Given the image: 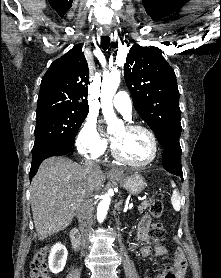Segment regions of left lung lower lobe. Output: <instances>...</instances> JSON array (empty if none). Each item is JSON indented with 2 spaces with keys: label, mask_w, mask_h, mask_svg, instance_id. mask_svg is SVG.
Returning a JSON list of instances; mask_svg holds the SVG:
<instances>
[{
  "label": "left lung lower lobe",
  "mask_w": 221,
  "mask_h": 278,
  "mask_svg": "<svg viewBox=\"0 0 221 278\" xmlns=\"http://www.w3.org/2000/svg\"><path fill=\"white\" fill-rule=\"evenodd\" d=\"M163 167L170 173L179 175L183 180V172L181 166V147L180 144L168 145L164 147L162 155Z\"/></svg>",
  "instance_id": "0a47b994"
}]
</instances>
